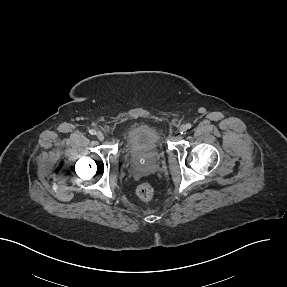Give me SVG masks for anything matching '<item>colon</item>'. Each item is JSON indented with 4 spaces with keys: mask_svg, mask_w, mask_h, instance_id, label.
Instances as JSON below:
<instances>
[{
    "mask_svg": "<svg viewBox=\"0 0 287 287\" xmlns=\"http://www.w3.org/2000/svg\"><path fill=\"white\" fill-rule=\"evenodd\" d=\"M137 195L144 201H150L154 197V189L148 183H142L137 187Z\"/></svg>",
    "mask_w": 287,
    "mask_h": 287,
    "instance_id": "5ec220e1",
    "label": "colon"
}]
</instances>
